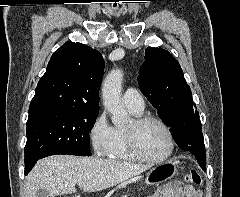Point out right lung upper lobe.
Listing matches in <instances>:
<instances>
[{"label":"right lung upper lobe","instance_id":"cb5924a9","mask_svg":"<svg viewBox=\"0 0 240 197\" xmlns=\"http://www.w3.org/2000/svg\"><path fill=\"white\" fill-rule=\"evenodd\" d=\"M104 66L97 50L66 42L51 56L36 87L29 113L47 109L99 111L98 89Z\"/></svg>","mask_w":240,"mask_h":197}]
</instances>
